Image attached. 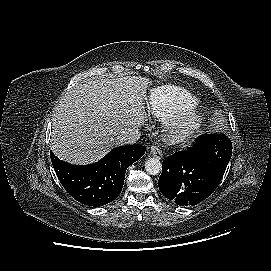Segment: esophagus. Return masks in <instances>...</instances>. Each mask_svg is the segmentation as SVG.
Listing matches in <instances>:
<instances>
[{
	"mask_svg": "<svg viewBox=\"0 0 271 271\" xmlns=\"http://www.w3.org/2000/svg\"><path fill=\"white\" fill-rule=\"evenodd\" d=\"M150 152H151L152 156L156 157L157 159H162L163 158L162 151L160 150L159 147H157L155 145L151 146Z\"/></svg>",
	"mask_w": 271,
	"mask_h": 271,
	"instance_id": "esophagus-1",
	"label": "esophagus"
}]
</instances>
